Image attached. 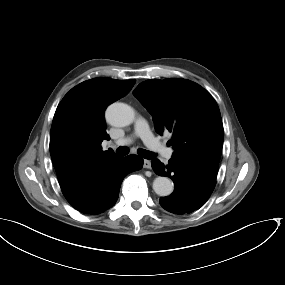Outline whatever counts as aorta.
<instances>
[{
  "label": "aorta",
  "instance_id": "1",
  "mask_svg": "<svg viewBox=\"0 0 285 285\" xmlns=\"http://www.w3.org/2000/svg\"><path fill=\"white\" fill-rule=\"evenodd\" d=\"M106 119L112 126L125 127L133 123L135 112L129 105L116 102L107 108ZM153 190L159 196H169L174 190V184L169 178L159 176L153 181Z\"/></svg>",
  "mask_w": 285,
  "mask_h": 285
}]
</instances>
